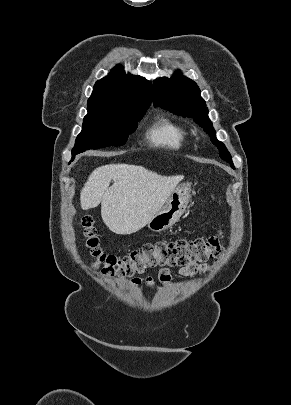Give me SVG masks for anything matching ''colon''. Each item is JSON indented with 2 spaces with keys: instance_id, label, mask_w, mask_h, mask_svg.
I'll return each instance as SVG.
<instances>
[{
  "instance_id": "5ec220e1",
  "label": "colon",
  "mask_w": 291,
  "mask_h": 405,
  "mask_svg": "<svg viewBox=\"0 0 291 405\" xmlns=\"http://www.w3.org/2000/svg\"><path fill=\"white\" fill-rule=\"evenodd\" d=\"M82 228L85 246L95 266L104 275L132 276L157 267H186L217 259L223 253L221 236L218 234L193 240L147 243L126 255L118 256L102 250L94 220L90 216L82 219Z\"/></svg>"
}]
</instances>
